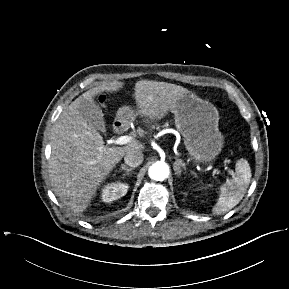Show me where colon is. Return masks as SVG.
I'll use <instances>...</instances> for the list:
<instances>
[{
    "mask_svg": "<svg viewBox=\"0 0 289 289\" xmlns=\"http://www.w3.org/2000/svg\"><path fill=\"white\" fill-rule=\"evenodd\" d=\"M217 105H218V107H220V108L222 107L221 103H217Z\"/></svg>",
    "mask_w": 289,
    "mask_h": 289,
    "instance_id": "1",
    "label": "colon"
}]
</instances>
